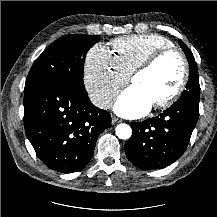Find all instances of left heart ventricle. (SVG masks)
I'll return each instance as SVG.
<instances>
[{
  "mask_svg": "<svg viewBox=\"0 0 217 217\" xmlns=\"http://www.w3.org/2000/svg\"><path fill=\"white\" fill-rule=\"evenodd\" d=\"M181 75V64L174 56H167L155 67L137 75L132 85L137 86L154 104L169 96L177 87Z\"/></svg>",
  "mask_w": 217,
  "mask_h": 217,
  "instance_id": "left-heart-ventricle-1",
  "label": "left heart ventricle"
}]
</instances>
